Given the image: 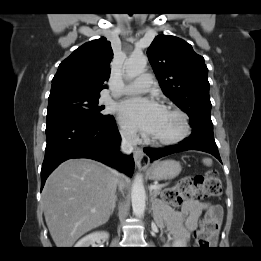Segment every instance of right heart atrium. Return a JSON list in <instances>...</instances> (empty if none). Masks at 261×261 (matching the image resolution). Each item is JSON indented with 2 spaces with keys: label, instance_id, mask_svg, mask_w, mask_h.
I'll list each match as a JSON object with an SVG mask.
<instances>
[{
  "label": "right heart atrium",
  "instance_id": "obj_1",
  "mask_svg": "<svg viewBox=\"0 0 261 261\" xmlns=\"http://www.w3.org/2000/svg\"><path fill=\"white\" fill-rule=\"evenodd\" d=\"M120 132L123 139L127 142H133L136 139L135 134L129 129L122 128Z\"/></svg>",
  "mask_w": 261,
  "mask_h": 261
}]
</instances>
